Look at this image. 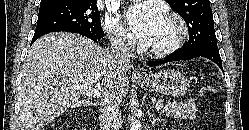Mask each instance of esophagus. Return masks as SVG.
Listing matches in <instances>:
<instances>
[{"label":"esophagus","mask_w":249,"mask_h":130,"mask_svg":"<svg viewBox=\"0 0 249 130\" xmlns=\"http://www.w3.org/2000/svg\"><path fill=\"white\" fill-rule=\"evenodd\" d=\"M135 74L138 75V76H144V72L142 70H140V69H137L135 71Z\"/></svg>","instance_id":"esophagus-1"}]
</instances>
